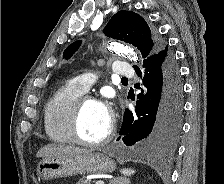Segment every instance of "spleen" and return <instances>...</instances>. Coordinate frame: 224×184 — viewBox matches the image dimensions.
<instances>
[{
  "mask_svg": "<svg viewBox=\"0 0 224 184\" xmlns=\"http://www.w3.org/2000/svg\"><path fill=\"white\" fill-rule=\"evenodd\" d=\"M122 171V173H124L125 175H132V174H134L135 173V171L133 170V169H122L121 170Z\"/></svg>",
  "mask_w": 224,
  "mask_h": 184,
  "instance_id": "obj_1",
  "label": "spleen"
}]
</instances>
